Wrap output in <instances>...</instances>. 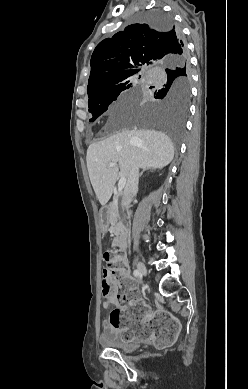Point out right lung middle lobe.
Segmentation results:
<instances>
[{"instance_id":"right-lung-middle-lobe-1","label":"right lung middle lobe","mask_w":248,"mask_h":389,"mask_svg":"<svg viewBox=\"0 0 248 389\" xmlns=\"http://www.w3.org/2000/svg\"><path fill=\"white\" fill-rule=\"evenodd\" d=\"M141 20L153 28L167 30L174 28L171 16L162 10H152L141 15ZM156 89L154 96L159 102L153 107L134 104L126 109L129 117L139 124L157 128L166 132L178 147L190 102L191 73L189 63L185 59H171L156 68ZM134 71L117 78L109 86L100 88L90 94L88 100L89 112L94 121L104 113L109 104L134 85ZM155 86L150 87V89Z\"/></svg>"}]
</instances>
